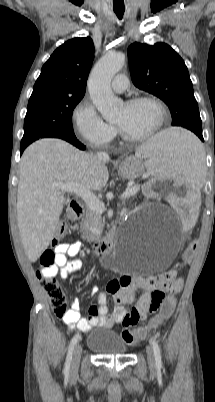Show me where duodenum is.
<instances>
[{"label":"duodenum","instance_id":"410a0bca","mask_svg":"<svg viewBox=\"0 0 215 402\" xmlns=\"http://www.w3.org/2000/svg\"><path fill=\"white\" fill-rule=\"evenodd\" d=\"M83 213V206L77 201L72 202L68 212L69 218L73 221L78 220L83 216ZM114 243L115 233L111 230L106 234L103 239L95 242L92 245V250L98 256H105L112 251Z\"/></svg>","mask_w":215,"mask_h":402}]
</instances>
